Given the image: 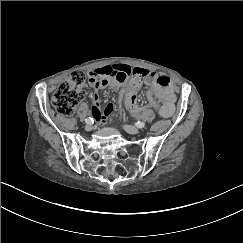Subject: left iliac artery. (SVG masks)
Here are the masks:
<instances>
[{"label":"left iliac artery","instance_id":"obj_1","mask_svg":"<svg viewBox=\"0 0 243 243\" xmlns=\"http://www.w3.org/2000/svg\"><path fill=\"white\" fill-rule=\"evenodd\" d=\"M135 125H136V127H138V128H143V127L145 126V123H144V122H140V121H138V122L135 123Z\"/></svg>","mask_w":243,"mask_h":243}]
</instances>
